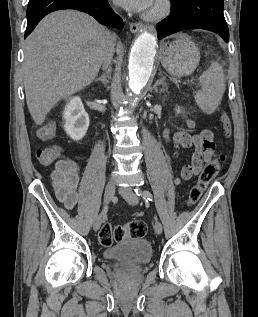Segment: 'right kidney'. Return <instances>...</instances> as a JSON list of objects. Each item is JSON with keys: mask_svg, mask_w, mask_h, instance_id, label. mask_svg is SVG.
<instances>
[{"mask_svg": "<svg viewBox=\"0 0 258 317\" xmlns=\"http://www.w3.org/2000/svg\"><path fill=\"white\" fill-rule=\"evenodd\" d=\"M64 128L73 140H81L89 126V116L85 112L80 96H73L64 108Z\"/></svg>", "mask_w": 258, "mask_h": 317, "instance_id": "right-kidney-1", "label": "right kidney"}]
</instances>
